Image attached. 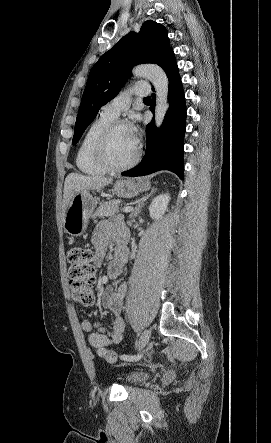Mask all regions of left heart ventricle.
I'll return each mask as SVG.
<instances>
[{"label": "left heart ventricle", "mask_w": 271, "mask_h": 443, "mask_svg": "<svg viewBox=\"0 0 271 443\" xmlns=\"http://www.w3.org/2000/svg\"><path fill=\"white\" fill-rule=\"evenodd\" d=\"M137 137L131 126H120L112 134L109 143V154L116 164L130 160L137 150Z\"/></svg>", "instance_id": "b2bd125f"}]
</instances>
